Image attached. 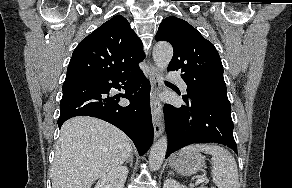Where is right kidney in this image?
I'll list each match as a JSON object with an SVG mask.
<instances>
[{"label": "right kidney", "mask_w": 292, "mask_h": 188, "mask_svg": "<svg viewBox=\"0 0 292 188\" xmlns=\"http://www.w3.org/2000/svg\"><path fill=\"white\" fill-rule=\"evenodd\" d=\"M127 175L128 169L126 167H119L104 174L94 188H124Z\"/></svg>", "instance_id": "1"}]
</instances>
